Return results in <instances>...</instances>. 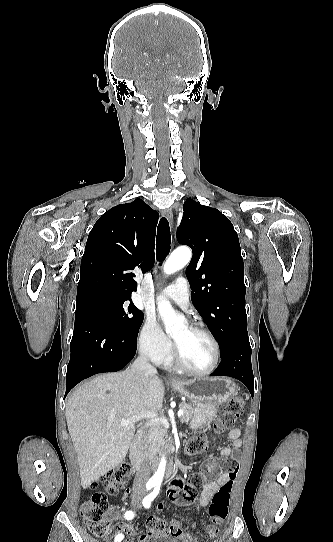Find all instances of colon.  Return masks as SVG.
I'll list each match as a JSON object with an SVG mask.
<instances>
[{"label": "colon", "instance_id": "5ec220e1", "mask_svg": "<svg viewBox=\"0 0 333 542\" xmlns=\"http://www.w3.org/2000/svg\"><path fill=\"white\" fill-rule=\"evenodd\" d=\"M244 408V402L241 397L233 398L229 401L224 412L213 423L212 430L216 434H222L230 430ZM208 448V435L203 432L195 433L186 444V453L190 456L203 454ZM222 471L231 478H235L239 471V463L233 458H226L222 461ZM132 473L131 465L125 464L117 466L109 471V474L101 478L93 484H100L106 492L93 495L90 499L85 500L81 504V516L89 528V530L97 537H103L109 532L108 515L109 505L106 500V494L116 496L120 488L128 481ZM207 483L206 474L197 472L190 476V484L193 488H200ZM233 484L227 482L215 493L211 503L209 504L208 512L210 522L206 525V531L216 536L220 531L221 525L225 522L228 515L230 503V495ZM164 507V504H160ZM171 530V536L180 540H187L186 532L179 526H174L172 529L167 528L166 521L157 515H151L146 521V536L152 538V532L158 540H164L167 537V532Z\"/></svg>", "mask_w": 333, "mask_h": 542}]
</instances>
